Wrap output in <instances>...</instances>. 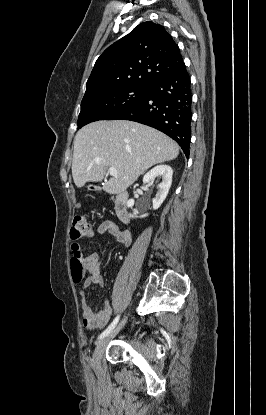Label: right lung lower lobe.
<instances>
[{
	"label": "right lung lower lobe",
	"mask_w": 266,
	"mask_h": 415,
	"mask_svg": "<svg viewBox=\"0 0 266 415\" xmlns=\"http://www.w3.org/2000/svg\"><path fill=\"white\" fill-rule=\"evenodd\" d=\"M192 94L186 67L148 87L146 96L110 120H131L156 128L174 139L189 156Z\"/></svg>",
	"instance_id": "right-lung-lower-lobe-1"
}]
</instances>
